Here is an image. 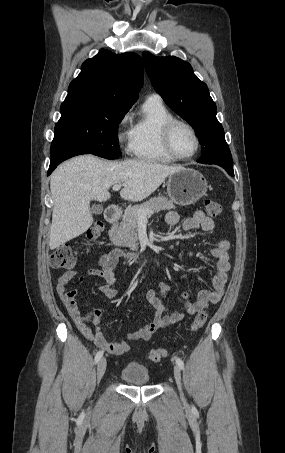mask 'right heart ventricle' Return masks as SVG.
<instances>
[{
  "label": "right heart ventricle",
  "instance_id": "1",
  "mask_svg": "<svg viewBox=\"0 0 285 453\" xmlns=\"http://www.w3.org/2000/svg\"><path fill=\"white\" fill-rule=\"evenodd\" d=\"M173 118L161 100L147 99L129 131V152L147 161H176L164 149L161 136L163 126Z\"/></svg>",
  "mask_w": 285,
  "mask_h": 453
}]
</instances>
